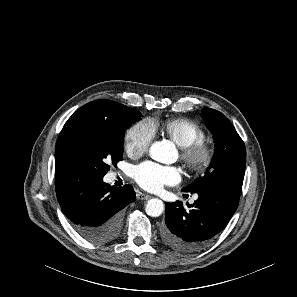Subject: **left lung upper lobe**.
<instances>
[{"label": "left lung upper lobe", "instance_id": "obj_1", "mask_svg": "<svg viewBox=\"0 0 297 297\" xmlns=\"http://www.w3.org/2000/svg\"><path fill=\"white\" fill-rule=\"evenodd\" d=\"M202 117L213 134L215 153L206 173L183 191L195 192L214 185L242 187L246 165L244 142L221 112L206 109Z\"/></svg>", "mask_w": 297, "mask_h": 297}]
</instances>
